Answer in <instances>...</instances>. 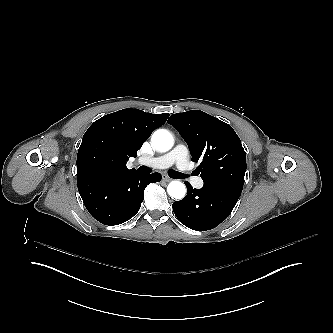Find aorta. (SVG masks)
I'll list each match as a JSON object with an SVG mask.
<instances>
[{"mask_svg": "<svg viewBox=\"0 0 333 333\" xmlns=\"http://www.w3.org/2000/svg\"><path fill=\"white\" fill-rule=\"evenodd\" d=\"M152 146L159 152H166L173 145L172 135L165 129L155 131L151 138ZM168 194L175 199H182L185 196V185L180 181H171L167 187Z\"/></svg>", "mask_w": 333, "mask_h": 333, "instance_id": "obj_1", "label": "aorta"}]
</instances>
